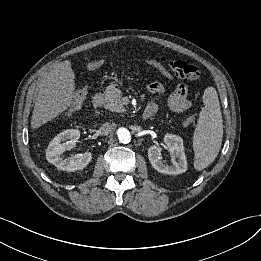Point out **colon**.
<instances>
[{
    "label": "colon",
    "mask_w": 261,
    "mask_h": 261,
    "mask_svg": "<svg viewBox=\"0 0 261 261\" xmlns=\"http://www.w3.org/2000/svg\"><path fill=\"white\" fill-rule=\"evenodd\" d=\"M151 66H157L154 63H149ZM168 67L173 75L178 79H185V80H196L200 76L199 69L191 64H188L181 60H172L168 62ZM88 92V87H82L75 91L73 95V102L69 109V113H73L77 111L83 104L85 97ZM193 117L190 116L187 118V122H192Z\"/></svg>",
    "instance_id": "obj_1"
}]
</instances>
